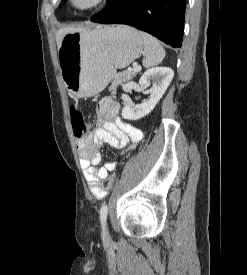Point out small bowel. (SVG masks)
I'll list each match as a JSON object with an SVG mask.
<instances>
[{
  "instance_id": "small-bowel-1",
  "label": "small bowel",
  "mask_w": 247,
  "mask_h": 275,
  "mask_svg": "<svg viewBox=\"0 0 247 275\" xmlns=\"http://www.w3.org/2000/svg\"><path fill=\"white\" fill-rule=\"evenodd\" d=\"M119 111V103L112 98L99 101L96 106V122L100 127L77 142L81 167L89 189L97 199H103L107 195L101 181L107 178L117 165L115 161H110L99 166L101 145L107 143L119 149L129 146L131 150L136 148L143 138L142 131L124 122L119 116Z\"/></svg>"
}]
</instances>
